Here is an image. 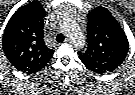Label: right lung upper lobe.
<instances>
[{
	"label": "right lung upper lobe",
	"instance_id": "right-lung-upper-lobe-1",
	"mask_svg": "<svg viewBox=\"0 0 135 95\" xmlns=\"http://www.w3.org/2000/svg\"><path fill=\"white\" fill-rule=\"evenodd\" d=\"M45 11L25 6L14 13L2 38L3 51L10 63L26 73H36L46 66L54 50L44 42Z\"/></svg>",
	"mask_w": 135,
	"mask_h": 95
}]
</instances>
